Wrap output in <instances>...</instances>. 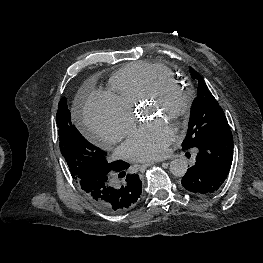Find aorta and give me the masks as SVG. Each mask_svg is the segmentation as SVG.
<instances>
[{
    "label": "aorta",
    "instance_id": "1",
    "mask_svg": "<svg viewBox=\"0 0 263 263\" xmlns=\"http://www.w3.org/2000/svg\"><path fill=\"white\" fill-rule=\"evenodd\" d=\"M188 169L185 159L177 158L170 162V172L176 177H183Z\"/></svg>",
    "mask_w": 263,
    "mask_h": 263
}]
</instances>
